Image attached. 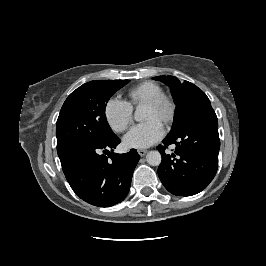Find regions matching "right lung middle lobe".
<instances>
[{"label": "right lung middle lobe", "instance_id": "dd1d6c3e", "mask_svg": "<svg viewBox=\"0 0 266 266\" xmlns=\"http://www.w3.org/2000/svg\"><path fill=\"white\" fill-rule=\"evenodd\" d=\"M128 82L129 80L91 81L68 96L56 125L60 160L76 149L92 147L115 135L106 120V103Z\"/></svg>", "mask_w": 266, "mask_h": 266}]
</instances>
